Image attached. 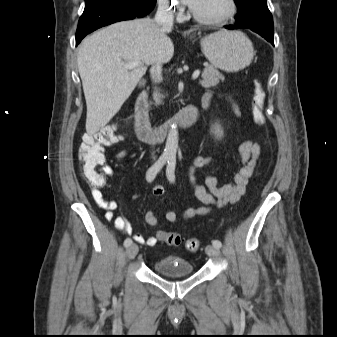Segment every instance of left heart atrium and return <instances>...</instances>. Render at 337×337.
I'll return each mask as SVG.
<instances>
[{"label": "left heart atrium", "mask_w": 337, "mask_h": 337, "mask_svg": "<svg viewBox=\"0 0 337 337\" xmlns=\"http://www.w3.org/2000/svg\"><path fill=\"white\" fill-rule=\"evenodd\" d=\"M183 1L193 9L194 7H196V5L199 3L200 0H183Z\"/></svg>", "instance_id": "left-heart-atrium-1"}]
</instances>
